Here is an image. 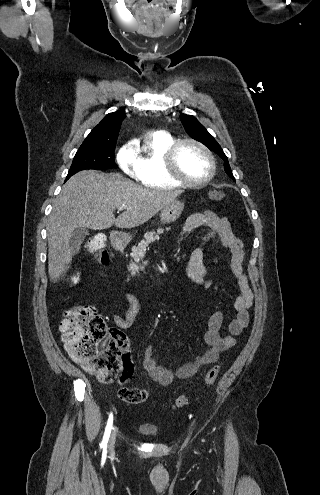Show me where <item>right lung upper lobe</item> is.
<instances>
[{
    "label": "right lung upper lobe",
    "instance_id": "1",
    "mask_svg": "<svg viewBox=\"0 0 320 495\" xmlns=\"http://www.w3.org/2000/svg\"><path fill=\"white\" fill-rule=\"evenodd\" d=\"M125 117V113L121 111L107 114L102 121L92 129L81 146L116 144L120 126Z\"/></svg>",
    "mask_w": 320,
    "mask_h": 495
}]
</instances>
